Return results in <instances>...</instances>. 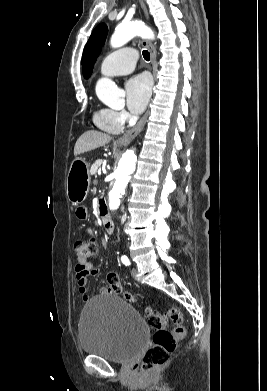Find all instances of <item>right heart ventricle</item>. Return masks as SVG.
I'll return each mask as SVG.
<instances>
[{
  "mask_svg": "<svg viewBox=\"0 0 267 391\" xmlns=\"http://www.w3.org/2000/svg\"><path fill=\"white\" fill-rule=\"evenodd\" d=\"M93 120L99 129L107 133L117 134L122 129V125L114 121L111 115V110L107 108H100L96 110Z\"/></svg>",
  "mask_w": 267,
  "mask_h": 391,
  "instance_id": "1",
  "label": "right heart ventricle"
}]
</instances>
